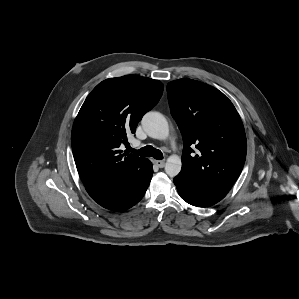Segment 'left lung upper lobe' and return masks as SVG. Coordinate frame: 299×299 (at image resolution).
<instances>
[{"mask_svg": "<svg viewBox=\"0 0 299 299\" xmlns=\"http://www.w3.org/2000/svg\"><path fill=\"white\" fill-rule=\"evenodd\" d=\"M167 92L184 142L179 174L228 193L247 151L244 126L234 105L218 89L188 78L169 82Z\"/></svg>", "mask_w": 299, "mask_h": 299, "instance_id": "5c2ea615", "label": "left lung upper lobe"}]
</instances>
